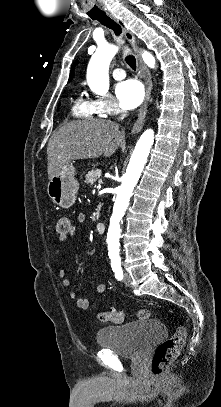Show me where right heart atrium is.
Returning a JSON list of instances; mask_svg holds the SVG:
<instances>
[{"label":"right heart atrium","mask_w":221,"mask_h":407,"mask_svg":"<svg viewBox=\"0 0 221 407\" xmlns=\"http://www.w3.org/2000/svg\"><path fill=\"white\" fill-rule=\"evenodd\" d=\"M92 102L97 113L104 116H114L124 111L119 103L110 98H97Z\"/></svg>","instance_id":"d8ad5b80"}]
</instances>
